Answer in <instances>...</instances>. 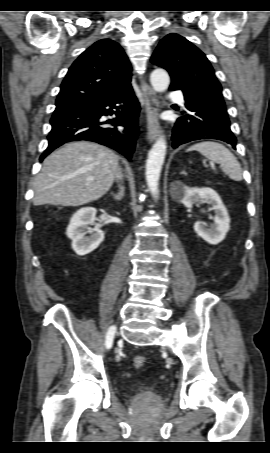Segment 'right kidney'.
<instances>
[{
    "label": "right kidney",
    "instance_id": "right-kidney-1",
    "mask_svg": "<svg viewBox=\"0 0 270 453\" xmlns=\"http://www.w3.org/2000/svg\"><path fill=\"white\" fill-rule=\"evenodd\" d=\"M96 209L85 207L73 214L66 230V235L72 240V249L79 256H84L95 250L104 240V232L98 228L92 229ZM87 233L90 236H85Z\"/></svg>",
    "mask_w": 270,
    "mask_h": 453
}]
</instances>
